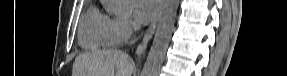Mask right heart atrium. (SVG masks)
I'll use <instances>...</instances> for the list:
<instances>
[{
  "label": "right heart atrium",
  "instance_id": "d8ad5b80",
  "mask_svg": "<svg viewBox=\"0 0 287 76\" xmlns=\"http://www.w3.org/2000/svg\"><path fill=\"white\" fill-rule=\"evenodd\" d=\"M134 22L128 17H116L112 19L111 33L116 43L126 41L135 31Z\"/></svg>",
  "mask_w": 287,
  "mask_h": 76
}]
</instances>
